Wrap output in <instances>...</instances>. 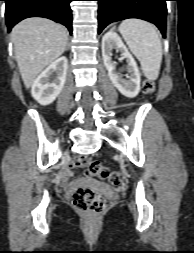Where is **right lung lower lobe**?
Instances as JSON below:
<instances>
[{
    "instance_id": "obj_1",
    "label": "right lung lower lobe",
    "mask_w": 194,
    "mask_h": 253,
    "mask_svg": "<svg viewBox=\"0 0 194 253\" xmlns=\"http://www.w3.org/2000/svg\"><path fill=\"white\" fill-rule=\"evenodd\" d=\"M8 31L29 17H45L65 25L72 33V0H4Z\"/></svg>"
}]
</instances>
